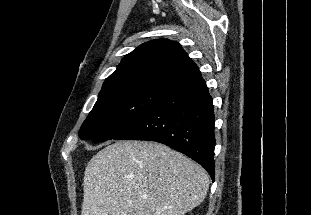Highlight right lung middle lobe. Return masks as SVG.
<instances>
[{
    "instance_id": "right-lung-middle-lobe-1",
    "label": "right lung middle lobe",
    "mask_w": 311,
    "mask_h": 215,
    "mask_svg": "<svg viewBox=\"0 0 311 215\" xmlns=\"http://www.w3.org/2000/svg\"><path fill=\"white\" fill-rule=\"evenodd\" d=\"M170 84H126L101 90L97 102L82 124L79 137L92 141L111 140L145 116Z\"/></svg>"
}]
</instances>
